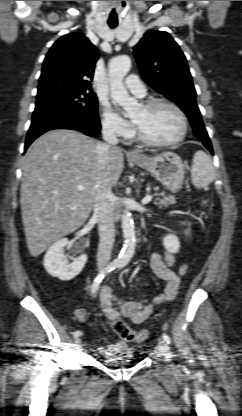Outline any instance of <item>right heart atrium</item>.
Returning <instances> with one entry per match:
<instances>
[{
  "instance_id": "right-heart-atrium-1",
  "label": "right heart atrium",
  "mask_w": 242,
  "mask_h": 416,
  "mask_svg": "<svg viewBox=\"0 0 242 416\" xmlns=\"http://www.w3.org/2000/svg\"><path fill=\"white\" fill-rule=\"evenodd\" d=\"M101 123L103 130L111 136L118 138H129L131 136V128L128 122L108 106L103 108Z\"/></svg>"
}]
</instances>
